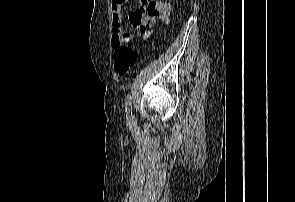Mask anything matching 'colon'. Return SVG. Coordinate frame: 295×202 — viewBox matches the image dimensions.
I'll use <instances>...</instances> for the list:
<instances>
[{"label": "colon", "instance_id": "1", "mask_svg": "<svg viewBox=\"0 0 295 202\" xmlns=\"http://www.w3.org/2000/svg\"><path fill=\"white\" fill-rule=\"evenodd\" d=\"M114 70L120 75H126L134 66L137 60V53L131 45V37L125 35L122 39L121 45L118 46L113 55Z\"/></svg>", "mask_w": 295, "mask_h": 202}]
</instances>
